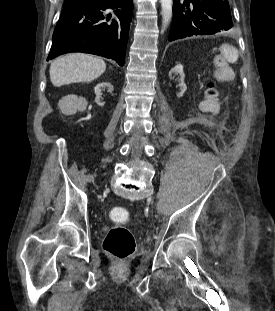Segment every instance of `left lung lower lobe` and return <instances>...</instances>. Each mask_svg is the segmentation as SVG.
<instances>
[{
	"label": "left lung lower lobe",
	"instance_id": "left-lung-lower-lobe-1",
	"mask_svg": "<svg viewBox=\"0 0 275 311\" xmlns=\"http://www.w3.org/2000/svg\"><path fill=\"white\" fill-rule=\"evenodd\" d=\"M173 11L169 41L211 35L233 27L227 0H173Z\"/></svg>",
	"mask_w": 275,
	"mask_h": 311
}]
</instances>
